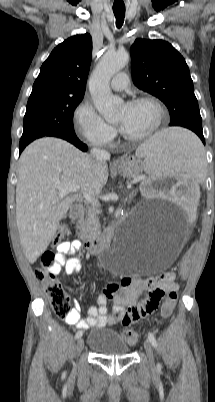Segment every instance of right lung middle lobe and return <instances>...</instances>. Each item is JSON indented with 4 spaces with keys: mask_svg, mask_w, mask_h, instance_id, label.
<instances>
[{
    "mask_svg": "<svg viewBox=\"0 0 215 402\" xmlns=\"http://www.w3.org/2000/svg\"><path fill=\"white\" fill-rule=\"evenodd\" d=\"M83 97L55 94L30 96L24 116L20 145L44 137L74 134L73 113Z\"/></svg>",
    "mask_w": 215,
    "mask_h": 402,
    "instance_id": "obj_1",
    "label": "right lung middle lobe"
}]
</instances>
